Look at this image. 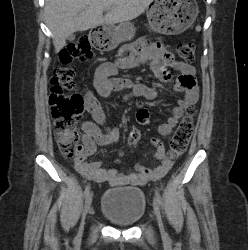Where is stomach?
<instances>
[{
    "label": "stomach",
    "instance_id": "0dacf381",
    "mask_svg": "<svg viewBox=\"0 0 248 250\" xmlns=\"http://www.w3.org/2000/svg\"><path fill=\"white\" fill-rule=\"evenodd\" d=\"M198 6L195 0H155L147 9V20L150 30L175 35L188 29L198 15ZM135 34L134 25L130 22L118 26L104 25L103 39L107 43L104 50H112L120 43L130 41Z\"/></svg>",
    "mask_w": 248,
    "mask_h": 250
}]
</instances>
